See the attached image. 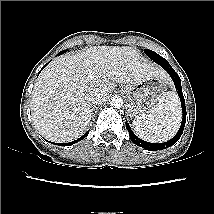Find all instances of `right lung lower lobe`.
I'll list each match as a JSON object with an SVG mask.
<instances>
[{
  "instance_id": "obj_1",
  "label": "right lung lower lobe",
  "mask_w": 214,
  "mask_h": 214,
  "mask_svg": "<svg viewBox=\"0 0 214 214\" xmlns=\"http://www.w3.org/2000/svg\"><path fill=\"white\" fill-rule=\"evenodd\" d=\"M60 55V54H59ZM45 67V66H44ZM43 67V68H44ZM42 68V69H43ZM41 69V70H42ZM88 133H89V131H87L83 136H81L79 139H77L76 141H72V142H69V143H65V144H58V145H64V146H70V145H72V144H74V143H76V142H78V141H81L82 139H84L87 135H88Z\"/></svg>"
}]
</instances>
